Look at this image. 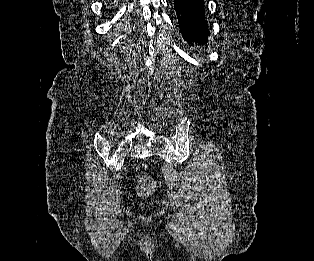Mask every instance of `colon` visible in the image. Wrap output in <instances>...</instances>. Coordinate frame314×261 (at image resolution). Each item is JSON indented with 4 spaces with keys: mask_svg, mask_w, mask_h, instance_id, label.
I'll return each mask as SVG.
<instances>
[{
    "mask_svg": "<svg viewBox=\"0 0 314 261\" xmlns=\"http://www.w3.org/2000/svg\"><path fill=\"white\" fill-rule=\"evenodd\" d=\"M155 189L154 181L149 176H142L138 182V193L143 198H149Z\"/></svg>",
    "mask_w": 314,
    "mask_h": 261,
    "instance_id": "5ec220e1",
    "label": "colon"
}]
</instances>
